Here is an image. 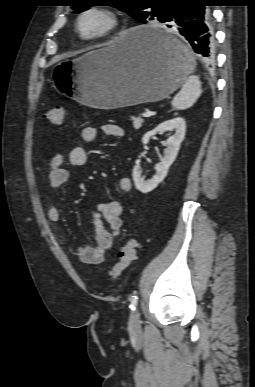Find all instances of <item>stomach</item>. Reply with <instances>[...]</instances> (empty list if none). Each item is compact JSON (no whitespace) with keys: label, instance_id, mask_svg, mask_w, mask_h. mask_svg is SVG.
<instances>
[{"label":"stomach","instance_id":"1","mask_svg":"<svg viewBox=\"0 0 255 387\" xmlns=\"http://www.w3.org/2000/svg\"><path fill=\"white\" fill-rule=\"evenodd\" d=\"M164 31L152 25L122 32L106 46L79 58L65 60L53 69V82L59 91L93 108L114 109L168 97L184 84L194 61L189 49L168 34L184 52L169 57L143 40V34Z\"/></svg>","mask_w":255,"mask_h":387}]
</instances>
